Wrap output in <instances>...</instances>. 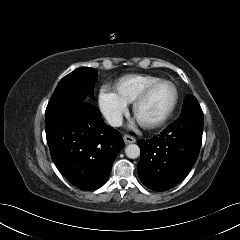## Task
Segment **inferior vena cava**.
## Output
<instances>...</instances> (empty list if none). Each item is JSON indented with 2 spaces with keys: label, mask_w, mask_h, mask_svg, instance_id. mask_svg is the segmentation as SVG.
Listing matches in <instances>:
<instances>
[{
  "label": "inferior vena cava",
  "mask_w": 240,
  "mask_h": 240,
  "mask_svg": "<svg viewBox=\"0 0 240 240\" xmlns=\"http://www.w3.org/2000/svg\"><path fill=\"white\" fill-rule=\"evenodd\" d=\"M107 122L114 127H119L122 125L123 118L120 114L113 112L106 115Z\"/></svg>",
  "instance_id": "602c4592"
}]
</instances>
